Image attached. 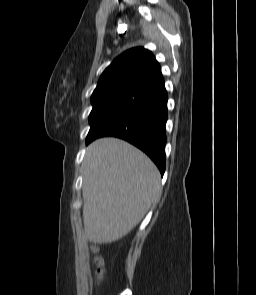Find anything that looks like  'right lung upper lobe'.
Instances as JSON below:
<instances>
[{
	"instance_id": "right-lung-upper-lobe-1",
	"label": "right lung upper lobe",
	"mask_w": 256,
	"mask_h": 295,
	"mask_svg": "<svg viewBox=\"0 0 256 295\" xmlns=\"http://www.w3.org/2000/svg\"><path fill=\"white\" fill-rule=\"evenodd\" d=\"M162 78L160 65L153 54L137 47L125 51L103 72L92 104L124 97H136Z\"/></svg>"
}]
</instances>
